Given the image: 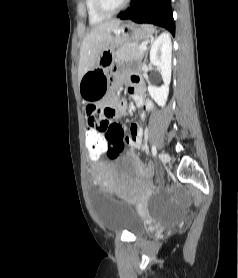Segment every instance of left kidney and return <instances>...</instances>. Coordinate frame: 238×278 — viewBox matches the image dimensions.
<instances>
[{"mask_svg": "<svg viewBox=\"0 0 238 278\" xmlns=\"http://www.w3.org/2000/svg\"><path fill=\"white\" fill-rule=\"evenodd\" d=\"M171 57L172 44L171 38L168 34H161L152 44L150 50V62L161 70V75L164 84L161 87L153 85L148 86V92L152 99L159 105L164 106L168 94L169 84L171 81Z\"/></svg>", "mask_w": 238, "mask_h": 278, "instance_id": "1", "label": "left kidney"}]
</instances>
